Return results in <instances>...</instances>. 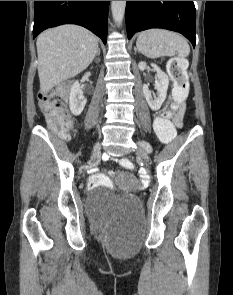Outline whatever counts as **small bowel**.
Here are the masks:
<instances>
[{"mask_svg": "<svg viewBox=\"0 0 233 295\" xmlns=\"http://www.w3.org/2000/svg\"><path fill=\"white\" fill-rule=\"evenodd\" d=\"M184 106L181 105L179 111L173 118L174 124L178 127L182 126Z\"/></svg>", "mask_w": 233, "mask_h": 295, "instance_id": "c3829d8e", "label": "small bowel"}]
</instances>
